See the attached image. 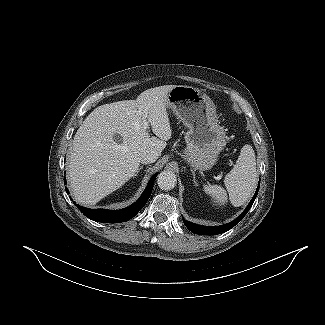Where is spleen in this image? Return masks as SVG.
<instances>
[{
    "label": "spleen",
    "mask_w": 325,
    "mask_h": 325,
    "mask_svg": "<svg viewBox=\"0 0 325 325\" xmlns=\"http://www.w3.org/2000/svg\"><path fill=\"white\" fill-rule=\"evenodd\" d=\"M255 153L246 144L242 147L233 169L225 176L224 184L229 194V200L235 207L243 205L252 195L257 182ZM204 191L215 201L224 204L227 193L218 185H204Z\"/></svg>",
    "instance_id": "1"
}]
</instances>
